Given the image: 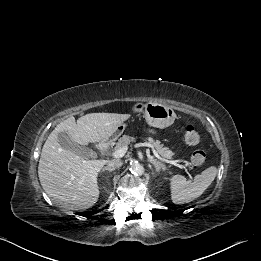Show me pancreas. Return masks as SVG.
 I'll list each match as a JSON object with an SVG mask.
<instances>
[{
  "instance_id": "1",
  "label": "pancreas",
  "mask_w": 261,
  "mask_h": 261,
  "mask_svg": "<svg viewBox=\"0 0 261 261\" xmlns=\"http://www.w3.org/2000/svg\"><path fill=\"white\" fill-rule=\"evenodd\" d=\"M136 139L129 135H123L117 142L115 146V150H118L121 147L128 146L130 142H134ZM146 143L153 146V148L160 154L164 159H171L173 156V152L169 150L167 147H163L159 140H154L152 137H148L145 140Z\"/></svg>"
}]
</instances>
